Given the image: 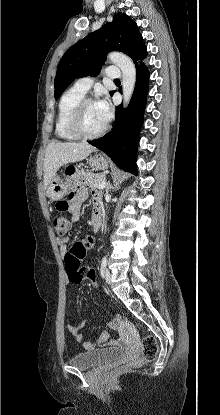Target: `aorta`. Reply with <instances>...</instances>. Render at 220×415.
<instances>
[{"instance_id": "1", "label": "aorta", "mask_w": 220, "mask_h": 415, "mask_svg": "<svg viewBox=\"0 0 220 415\" xmlns=\"http://www.w3.org/2000/svg\"><path fill=\"white\" fill-rule=\"evenodd\" d=\"M108 59L122 71L123 105L127 107L134 92L136 84V68L133 61L123 53L111 52Z\"/></svg>"}]
</instances>
